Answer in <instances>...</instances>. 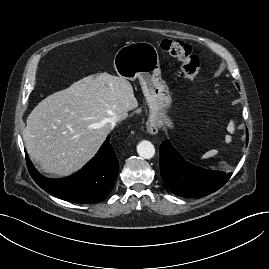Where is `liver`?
<instances>
[{
    "label": "liver",
    "instance_id": "6515ba94",
    "mask_svg": "<svg viewBox=\"0 0 269 269\" xmlns=\"http://www.w3.org/2000/svg\"><path fill=\"white\" fill-rule=\"evenodd\" d=\"M137 106L126 78L107 72L89 75L32 110L23 130L26 150L44 173L68 176L96 154L113 128L109 119H125Z\"/></svg>",
    "mask_w": 269,
    "mask_h": 269
}]
</instances>
